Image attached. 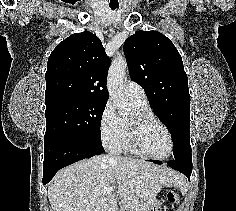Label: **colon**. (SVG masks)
I'll return each instance as SVG.
<instances>
[{
	"mask_svg": "<svg viewBox=\"0 0 236 211\" xmlns=\"http://www.w3.org/2000/svg\"><path fill=\"white\" fill-rule=\"evenodd\" d=\"M168 200L171 203H178L180 201V195L176 192H169L168 193Z\"/></svg>",
	"mask_w": 236,
	"mask_h": 211,
	"instance_id": "obj_1",
	"label": "colon"
}]
</instances>
